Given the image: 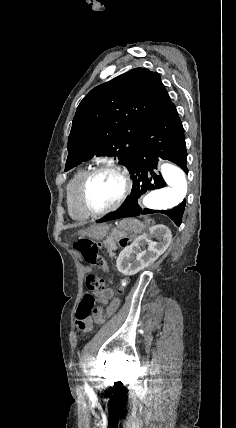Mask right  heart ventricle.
Here are the masks:
<instances>
[{
  "instance_id": "1",
  "label": "right heart ventricle",
  "mask_w": 236,
  "mask_h": 428,
  "mask_svg": "<svg viewBox=\"0 0 236 428\" xmlns=\"http://www.w3.org/2000/svg\"><path fill=\"white\" fill-rule=\"evenodd\" d=\"M86 173V168L76 170L69 178L65 187L69 212L71 216L78 221H86L91 217V215L83 209L79 199L80 184Z\"/></svg>"
}]
</instances>
